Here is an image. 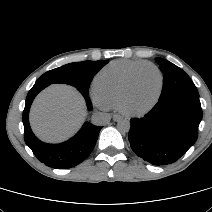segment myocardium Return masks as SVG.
I'll use <instances>...</instances> for the list:
<instances>
[{
    "label": "myocardium",
    "mask_w": 212,
    "mask_h": 212,
    "mask_svg": "<svg viewBox=\"0 0 212 212\" xmlns=\"http://www.w3.org/2000/svg\"><path fill=\"white\" fill-rule=\"evenodd\" d=\"M145 68H151L153 69L159 76V88H158V92L156 94V97L154 98V100L152 101V103L148 106L147 109L145 110H138V111H133V110H129L125 107V101H126V98L132 88V85L134 83V80L137 76V74L145 69ZM163 84H164V76H163V73L161 72V70L156 66L154 65L153 63H145V64H142L140 66H138L137 68H135L128 76L122 90H121V93H120V96H119V99H118V103H117V108L125 115L127 116H140L144 113H146L147 111H149L156 103L157 101L159 100V97L161 95V92H162V89H163Z\"/></svg>",
    "instance_id": "1"
}]
</instances>
